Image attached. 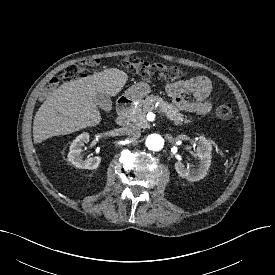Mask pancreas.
Listing matches in <instances>:
<instances>
[{"mask_svg":"<svg viewBox=\"0 0 275 275\" xmlns=\"http://www.w3.org/2000/svg\"><path fill=\"white\" fill-rule=\"evenodd\" d=\"M158 103V108L165 114L167 119L173 121L175 125H182L183 123H189L190 120L184 119V115L181 114L172 104L164 101L159 96H147L145 99L139 100V103L133 106L128 117L141 126L147 125L146 114L154 110L155 104Z\"/></svg>","mask_w":275,"mask_h":275,"instance_id":"pancreas-1","label":"pancreas"}]
</instances>
